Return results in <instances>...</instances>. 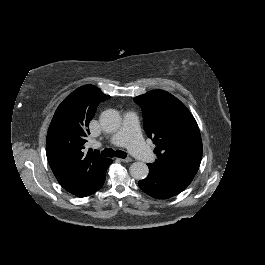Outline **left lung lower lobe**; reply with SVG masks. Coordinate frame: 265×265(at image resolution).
Wrapping results in <instances>:
<instances>
[{"mask_svg": "<svg viewBox=\"0 0 265 265\" xmlns=\"http://www.w3.org/2000/svg\"><path fill=\"white\" fill-rule=\"evenodd\" d=\"M148 167L149 175L138 184L145 193L156 199H168L179 194L194 178L187 174L158 171L149 164Z\"/></svg>", "mask_w": 265, "mask_h": 265, "instance_id": "obj_1", "label": "left lung lower lobe"}]
</instances>
